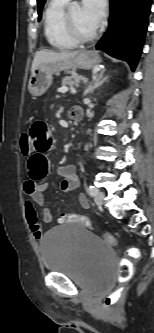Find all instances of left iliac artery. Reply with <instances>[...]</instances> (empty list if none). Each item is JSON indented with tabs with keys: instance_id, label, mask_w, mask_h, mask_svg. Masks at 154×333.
Instances as JSON below:
<instances>
[{
	"instance_id": "1",
	"label": "left iliac artery",
	"mask_w": 154,
	"mask_h": 333,
	"mask_svg": "<svg viewBox=\"0 0 154 333\" xmlns=\"http://www.w3.org/2000/svg\"><path fill=\"white\" fill-rule=\"evenodd\" d=\"M87 190L91 196H95L98 192V189L94 187L93 185H88Z\"/></svg>"
}]
</instances>
